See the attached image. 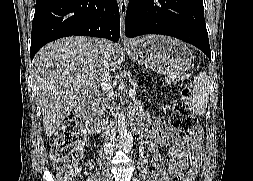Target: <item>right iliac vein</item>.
Segmentation results:
<instances>
[{
  "mask_svg": "<svg viewBox=\"0 0 253 181\" xmlns=\"http://www.w3.org/2000/svg\"><path fill=\"white\" fill-rule=\"evenodd\" d=\"M102 181H112V178H111L109 172H107V173L103 176Z\"/></svg>",
  "mask_w": 253,
  "mask_h": 181,
  "instance_id": "63e3f726",
  "label": "right iliac vein"
}]
</instances>
